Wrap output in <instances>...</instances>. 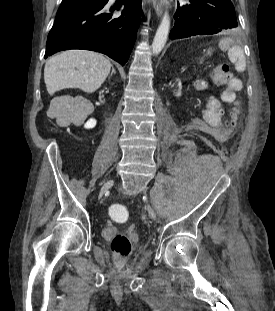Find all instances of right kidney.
Segmentation results:
<instances>
[{
  "instance_id": "1",
  "label": "right kidney",
  "mask_w": 275,
  "mask_h": 311,
  "mask_svg": "<svg viewBox=\"0 0 275 311\" xmlns=\"http://www.w3.org/2000/svg\"><path fill=\"white\" fill-rule=\"evenodd\" d=\"M99 95L101 96V97H99L98 99H97V102L99 103V104H102L103 102H104V99L102 98V97H110L111 95H112V92L110 91V90H101L100 92H99Z\"/></svg>"
}]
</instances>
